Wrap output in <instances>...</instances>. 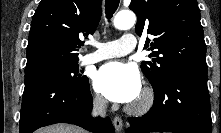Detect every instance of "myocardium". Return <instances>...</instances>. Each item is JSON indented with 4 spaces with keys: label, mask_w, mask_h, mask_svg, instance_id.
<instances>
[{
    "label": "myocardium",
    "mask_w": 221,
    "mask_h": 133,
    "mask_svg": "<svg viewBox=\"0 0 221 133\" xmlns=\"http://www.w3.org/2000/svg\"><path fill=\"white\" fill-rule=\"evenodd\" d=\"M154 103V92L151 88H145L140 97L130 107L129 111L135 115H141L150 110Z\"/></svg>",
    "instance_id": "obj_1"
}]
</instances>
